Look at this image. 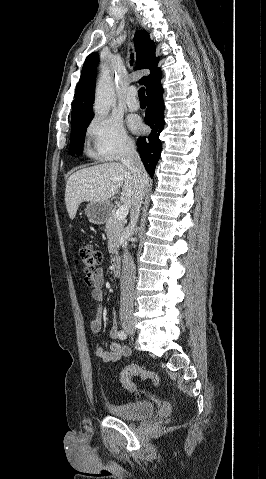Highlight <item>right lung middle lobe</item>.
<instances>
[{
	"instance_id": "1",
	"label": "right lung middle lobe",
	"mask_w": 266,
	"mask_h": 479,
	"mask_svg": "<svg viewBox=\"0 0 266 479\" xmlns=\"http://www.w3.org/2000/svg\"><path fill=\"white\" fill-rule=\"evenodd\" d=\"M93 116L71 123L70 153L80 155L84 145L86 129Z\"/></svg>"
}]
</instances>
